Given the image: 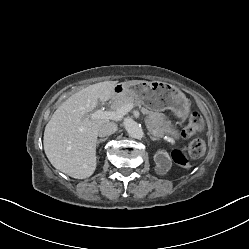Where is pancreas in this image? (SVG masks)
<instances>
[{
	"instance_id": "cf45deb5",
	"label": "pancreas",
	"mask_w": 249,
	"mask_h": 249,
	"mask_svg": "<svg viewBox=\"0 0 249 249\" xmlns=\"http://www.w3.org/2000/svg\"><path fill=\"white\" fill-rule=\"evenodd\" d=\"M126 104L138 106L141 111L146 114L152 121L153 125L157 128V133L160 136L166 135L168 137H171L172 139H179L178 130L171 124V121L168 120L164 114L148 110L145 107H141V103H139L131 96H118L114 98L112 102V108L114 110H117Z\"/></svg>"
}]
</instances>
